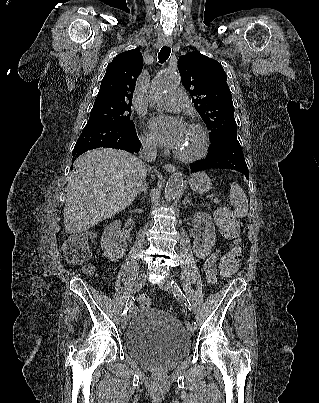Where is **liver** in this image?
Returning a JSON list of instances; mask_svg holds the SVG:
<instances>
[{
	"label": "liver",
	"instance_id": "6515ba94",
	"mask_svg": "<svg viewBox=\"0 0 319 403\" xmlns=\"http://www.w3.org/2000/svg\"><path fill=\"white\" fill-rule=\"evenodd\" d=\"M146 175L144 163L125 151L100 148L79 156L67 185L65 231L84 232L126 209Z\"/></svg>",
	"mask_w": 319,
	"mask_h": 403
}]
</instances>
